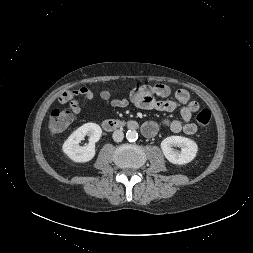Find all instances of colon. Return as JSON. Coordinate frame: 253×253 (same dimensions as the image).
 Here are the masks:
<instances>
[{
	"mask_svg": "<svg viewBox=\"0 0 253 253\" xmlns=\"http://www.w3.org/2000/svg\"><path fill=\"white\" fill-rule=\"evenodd\" d=\"M111 96L110 90H103L102 97L109 98ZM73 116L68 110L55 109L51 112L50 130L53 134H58L66 130L71 124ZM197 122L201 126H207L211 121V112L209 109H202L196 116Z\"/></svg>",
	"mask_w": 253,
	"mask_h": 253,
	"instance_id": "5ec220e1",
	"label": "colon"
}]
</instances>
